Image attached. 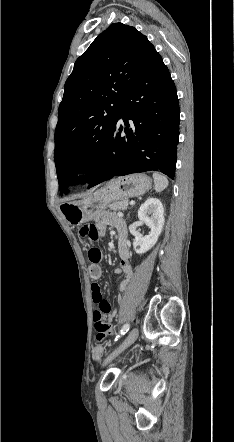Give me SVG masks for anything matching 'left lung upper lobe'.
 <instances>
[{"label": "left lung upper lobe", "mask_w": 234, "mask_h": 442, "mask_svg": "<svg viewBox=\"0 0 234 442\" xmlns=\"http://www.w3.org/2000/svg\"><path fill=\"white\" fill-rule=\"evenodd\" d=\"M156 50L136 28L111 24L74 64L64 87L55 131V165L61 195L78 172L100 166L123 97Z\"/></svg>", "instance_id": "obj_1"}]
</instances>
